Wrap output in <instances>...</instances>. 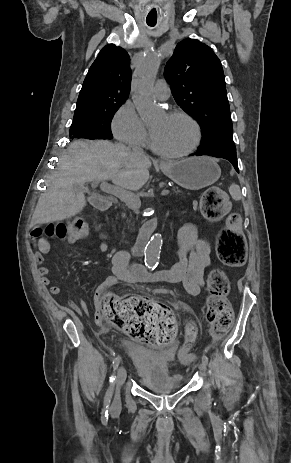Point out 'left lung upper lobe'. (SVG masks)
Returning <instances> with one entry per match:
<instances>
[{"label":"left lung upper lobe","mask_w":291,"mask_h":463,"mask_svg":"<svg viewBox=\"0 0 291 463\" xmlns=\"http://www.w3.org/2000/svg\"><path fill=\"white\" fill-rule=\"evenodd\" d=\"M165 75L178 105L201 127L198 149L236 153L224 72L213 50L196 39L181 41Z\"/></svg>","instance_id":"left-lung-upper-lobe-1"}]
</instances>
